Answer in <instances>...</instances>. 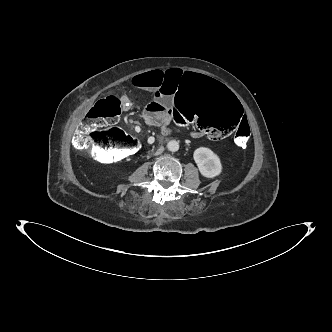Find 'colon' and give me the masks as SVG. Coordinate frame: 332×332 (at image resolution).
<instances>
[{
	"mask_svg": "<svg viewBox=\"0 0 332 332\" xmlns=\"http://www.w3.org/2000/svg\"><path fill=\"white\" fill-rule=\"evenodd\" d=\"M123 101L107 96L88 111L74 138L75 147L89 150L102 163L115 162L137 153L139 141L121 129L104 130L119 117ZM174 119L182 128H194L214 141L234 135L238 147H246L250 127L241 122L242 109L238 100L224 86L206 74L192 73L176 86L173 100Z\"/></svg>",
	"mask_w": 332,
	"mask_h": 332,
	"instance_id": "5ec220e1",
	"label": "colon"
}]
</instances>
